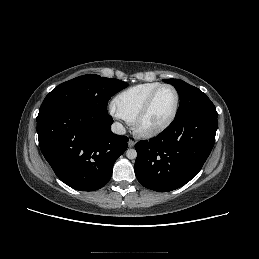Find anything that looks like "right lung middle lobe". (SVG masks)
<instances>
[{"instance_id":"1","label":"right lung middle lobe","mask_w":259,"mask_h":259,"mask_svg":"<svg viewBox=\"0 0 259 259\" xmlns=\"http://www.w3.org/2000/svg\"><path fill=\"white\" fill-rule=\"evenodd\" d=\"M127 86L126 82L114 78L94 74L79 76L52 90L40 106L39 114L61 104H80L99 112H107L111 96Z\"/></svg>"}]
</instances>
